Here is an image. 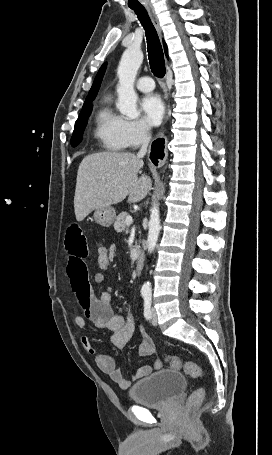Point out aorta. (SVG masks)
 I'll use <instances>...</instances> for the list:
<instances>
[{
    "label": "aorta",
    "instance_id": "762f6f07",
    "mask_svg": "<svg viewBox=\"0 0 272 455\" xmlns=\"http://www.w3.org/2000/svg\"><path fill=\"white\" fill-rule=\"evenodd\" d=\"M143 61V53L139 48H127L120 60L117 69L119 84L117 87L118 103L117 109L121 114L128 119H136L140 112L137 109V94L134 90V82L137 71ZM160 232V214L159 205L155 204L151 209L149 220V231L147 237L148 252L151 253L155 249ZM142 292H151L150 282H146L142 286Z\"/></svg>",
    "mask_w": 272,
    "mask_h": 455
}]
</instances>
